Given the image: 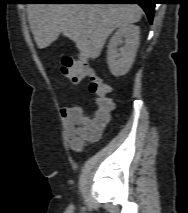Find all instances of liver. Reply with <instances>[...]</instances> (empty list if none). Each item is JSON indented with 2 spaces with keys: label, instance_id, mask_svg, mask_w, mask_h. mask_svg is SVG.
Returning a JSON list of instances; mask_svg holds the SVG:
<instances>
[{
  "label": "liver",
  "instance_id": "6515ba94",
  "mask_svg": "<svg viewBox=\"0 0 188 213\" xmlns=\"http://www.w3.org/2000/svg\"><path fill=\"white\" fill-rule=\"evenodd\" d=\"M28 21L40 49L62 33L87 58L99 57L109 35L118 27L139 22L137 4H29Z\"/></svg>",
  "mask_w": 188,
  "mask_h": 213
}]
</instances>
